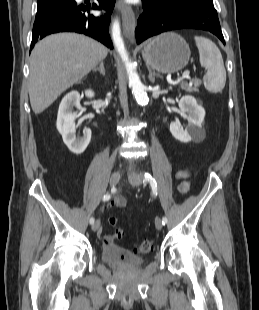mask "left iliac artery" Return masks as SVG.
<instances>
[{
    "instance_id": "left-iliac-artery-1",
    "label": "left iliac artery",
    "mask_w": 259,
    "mask_h": 310,
    "mask_svg": "<svg viewBox=\"0 0 259 310\" xmlns=\"http://www.w3.org/2000/svg\"><path fill=\"white\" fill-rule=\"evenodd\" d=\"M143 182L144 183H149L151 188H152V193L154 195H157V183L155 181V179L149 174V173H145L143 175ZM168 220L166 217L162 218V224L165 225L167 224Z\"/></svg>"
}]
</instances>
